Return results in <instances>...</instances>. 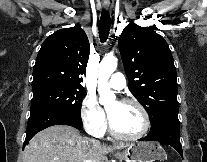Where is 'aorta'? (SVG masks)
I'll use <instances>...</instances> for the list:
<instances>
[{
    "label": "aorta",
    "mask_w": 207,
    "mask_h": 162,
    "mask_svg": "<svg viewBox=\"0 0 207 162\" xmlns=\"http://www.w3.org/2000/svg\"><path fill=\"white\" fill-rule=\"evenodd\" d=\"M118 60L115 56H106L100 63L98 72V93L100 95V104L107 106L115 102V95L110 90L108 79L111 74L116 70Z\"/></svg>",
    "instance_id": "obj_1"
}]
</instances>
